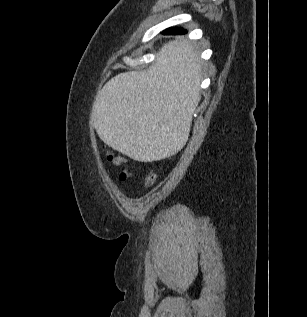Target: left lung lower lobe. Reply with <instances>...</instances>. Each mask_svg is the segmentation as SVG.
<instances>
[{
  "instance_id": "1",
  "label": "left lung lower lobe",
  "mask_w": 307,
  "mask_h": 317,
  "mask_svg": "<svg viewBox=\"0 0 307 317\" xmlns=\"http://www.w3.org/2000/svg\"><path fill=\"white\" fill-rule=\"evenodd\" d=\"M186 33L187 31L185 29L179 27L167 28L162 32L163 35H182Z\"/></svg>"
}]
</instances>
